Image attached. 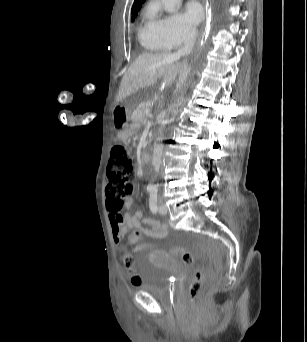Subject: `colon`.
Returning <instances> with one entry per match:
<instances>
[{"instance_id":"1","label":"colon","mask_w":307,"mask_h":342,"mask_svg":"<svg viewBox=\"0 0 307 342\" xmlns=\"http://www.w3.org/2000/svg\"><path fill=\"white\" fill-rule=\"evenodd\" d=\"M134 176L129 151L123 144H116L111 149V158L107 170L106 191L108 198L111 199V212L118 216L125 208L126 199L132 195L134 185L132 178ZM140 230H133L130 240L139 242ZM137 251H144L147 247L144 244L136 245ZM172 257H180L181 261L188 264L189 268L195 267L194 255L191 251L182 246H171ZM125 264L130 268L134 264V256L127 255ZM130 283L133 286H140L142 278L139 274L130 272ZM191 281H186L188 294H185L186 307H201L200 295H203L205 288V269H190Z\"/></svg>"}]
</instances>
